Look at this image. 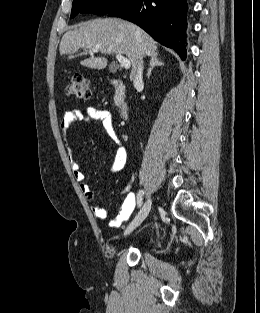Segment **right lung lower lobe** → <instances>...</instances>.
<instances>
[{
  "label": "right lung lower lobe",
  "instance_id": "1",
  "mask_svg": "<svg viewBox=\"0 0 260 313\" xmlns=\"http://www.w3.org/2000/svg\"><path fill=\"white\" fill-rule=\"evenodd\" d=\"M187 9L185 0H126L107 14L137 24L184 60Z\"/></svg>",
  "mask_w": 260,
  "mask_h": 313
}]
</instances>
